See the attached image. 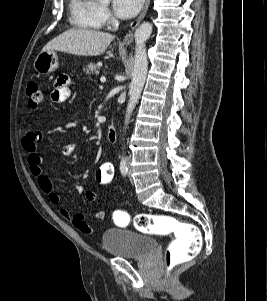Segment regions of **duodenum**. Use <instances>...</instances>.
Wrapping results in <instances>:
<instances>
[{
    "label": "duodenum",
    "instance_id": "duodenum-1",
    "mask_svg": "<svg viewBox=\"0 0 267 301\" xmlns=\"http://www.w3.org/2000/svg\"><path fill=\"white\" fill-rule=\"evenodd\" d=\"M106 138L109 142L113 143L117 139V130L115 127H109L107 129Z\"/></svg>",
    "mask_w": 267,
    "mask_h": 301
}]
</instances>
